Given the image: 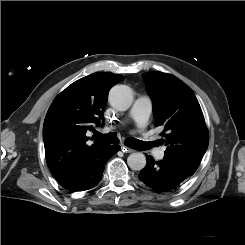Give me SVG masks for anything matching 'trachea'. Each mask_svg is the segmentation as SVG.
<instances>
[{"mask_svg": "<svg viewBox=\"0 0 245 245\" xmlns=\"http://www.w3.org/2000/svg\"><path fill=\"white\" fill-rule=\"evenodd\" d=\"M96 138L101 139L105 142L111 143V144H118L119 139L116 135V133H108V134H101L99 132L95 133ZM126 145L130 148L136 149V150H146L149 148L151 143H146L141 140L135 139V138H128L126 140Z\"/></svg>", "mask_w": 245, "mask_h": 245, "instance_id": "1", "label": "trachea"}]
</instances>
